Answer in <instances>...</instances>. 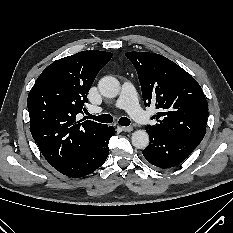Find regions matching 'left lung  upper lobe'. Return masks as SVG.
<instances>
[{"label":"left lung upper lobe","instance_id":"1","mask_svg":"<svg viewBox=\"0 0 233 233\" xmlns=\"http://www.w3.org/2000/svg\"><path fill=\"white\" fill-rule=\"evenodd\" d=\"M141 84L145 106L155 104L157 120L146 130L199 144L206 132L208 104L200 85L166 57L150 52H128Z\"/></svg>","mask_w":233,"mask_h":233}]
</instances>
